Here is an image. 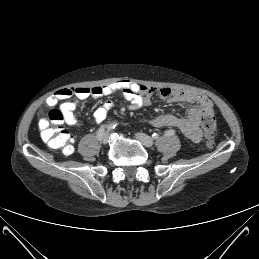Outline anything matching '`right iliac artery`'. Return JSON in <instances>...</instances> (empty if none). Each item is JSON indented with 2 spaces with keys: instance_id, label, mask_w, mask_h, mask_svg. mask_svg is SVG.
Listing matches in <instances>:
<instances>
[{
  "instance_id": "82829eb1",
  "label": "right iliac artery",
  "mask_w": 259,
  "mask_h": 259,
  "mask_svg": "<svg viewBox=\"0 0 259 259\" xmlns=\"http://www.w3.org/2000/svg\"><path fill=\"white\" fill-rule=\"evenodd\" d=\"M107 127V125H102L99 130L97 131V138L98 140H101L103 134H104V131H105V128Z\"/></svg>"
}]
</instances>
